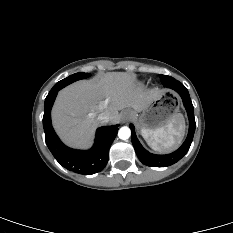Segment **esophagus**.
<instances>
[{"label": "esophagus", "mask_w": 233, "mask_h": 233, "mask_svg": "<svg viewBox=\"0 0 233 233\" xmlns=\"http://www.w3.org/2000/svg\"><path fill=\"white\" fill-rule=\"evenodd\" d=\"M129 117H130V115H129V113H127V112H125V113L122 115L123 120L129 119Z\"/></svg>", "instance_id": "esophagus-1"}]
</instances>
